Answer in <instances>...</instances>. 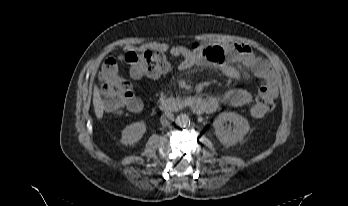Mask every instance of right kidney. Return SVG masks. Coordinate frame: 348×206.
Listing matches in <instances>:
<instances>
[{"instance_id": "ca27d5eb", "label": "right kidney", "mask_w": 348, "mask_h": 206, "mask_svg": "<svg viewBox=\"0 0 348 206\" xmlns=\"http://www.w3.org/2000/svg\"><path fill=\"white\" fill-rule=\"evenodd\" d=\"M145 132L146 124L144 122L132 123L122 131L121 142L124 145H133L143 137Z\"/></svg>"}]
</instances>
